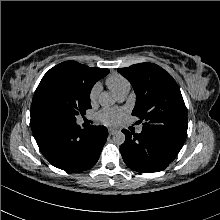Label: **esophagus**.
Returning a JSON list of instances; mask_svg holds the SVG:
<instances>
[{
    "label": "esophagus",
    "instance_id": "esophagus-1",
    "mask_svg": "<svg viewBox=\"0 0 220 220\" xmlns=\"http://www.w3.org/2000/svg\"><path fill=\"white\" fill-rule=\"evenodd\" d=\"M108 132H109V134H110V135H113V134L116 132V130H115V129L110 128V129L108 130Z\"/></svg>",
    "mask_w": 220,
    "mask_h": 220
}]
</instances>
